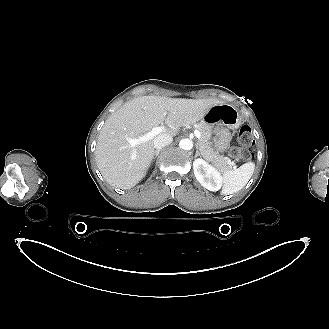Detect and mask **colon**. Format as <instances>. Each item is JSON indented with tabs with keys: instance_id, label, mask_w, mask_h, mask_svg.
<instances>
[{
	"instance_id": "obj_1",
	"label": "colon",
	"mask_w": 329,
	"mask_h": 329,
	"mask_svg": "<svg viewBox=\"0 0 329 329\" xmlns=\"http://www.w3.org/2000/svg\"><path fill=\"white\" fill-rule=\"evenodd\" d=\"M238 141L240 143V147H232L230 149V156L232 158H237L241 160H249L252 157V153L249 150V147L254 142L253 131L250 126L242 125L239 129L238 133Z\"/></svg>"
}]
</instances>
